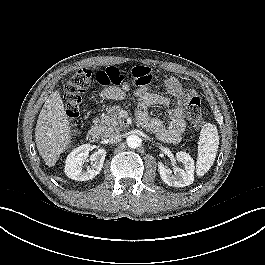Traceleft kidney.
I'll list each match as a JSON object with an SVG mask.
<instances>
[{
	"label": "left kidney",
	"mask_w": 265,
	"mask_h": 265,
	"mask_svg": "<svg viewBox=\"0 0 265 265\" xmlns=\"http://www.w3.org/2000/svg\"><path fill=\"white\" fill-rule=\"evenodd\" d=\"M177 161L182 162L185 166V170L177 167L172 174L171 169L164 166L163 163H158V169L161 179L164 183L174 187H185L193 183L194 181V160L186 152L179 151L176 153Z\"/></svg>",
	"instance_id": "1"
}]
</instances>
